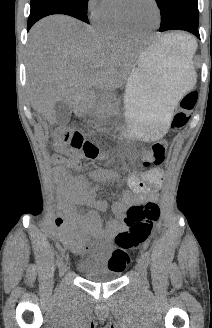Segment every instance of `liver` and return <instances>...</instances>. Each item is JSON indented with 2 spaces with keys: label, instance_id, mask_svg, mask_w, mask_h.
<instances>
[{
  "label": "liver",
  "instance_id": "liver-1",
  "mask_svg": "<svg viewBox=\"0 0 212 328\" xmlns=\"http://www.w3.org/2000/svg\"><path fill=\"white\" fill-rule=\"evenodd\" d=\"M141 53L133 41L101 35L69 16L52 15L40 20L30 30L27 44L32 108L50 124L56 123L58 101L72 105L91 88H120Z\"/></svg>",
  "mask_w": 212,
  "mask_h": 328
}]
</instances>
